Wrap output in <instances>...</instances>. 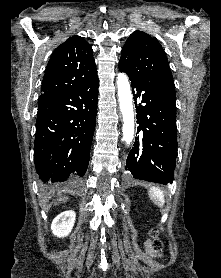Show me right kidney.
<instances>
[{"label":"right kidney","instance_id":"ca27d5eb","mask_svg":"<svg viewBox=\"0 0 221 278\" xmlns=\"http://www.w3.org/2000/svg\"><path fill=\"white\" fill-rule=\"evenodd\" d=\"M76 213L68 210L60 213L51 224L52 233L57 237H65L71 232L75 223Z\"/></svg>","mask_w":221,"mask_h":278}]
</instances>
